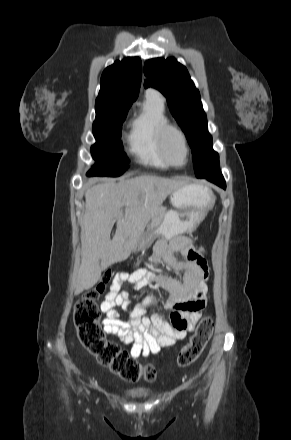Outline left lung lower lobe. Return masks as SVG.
I'll list each match as a JSON object with an SVG mask.
<instances>
[{"label": "left lung lower lobe", "instance_id": "obj_1", "mask_svg": "<svg viewBox=\"0 0 291 440\" xmlns=\"http://www.w3.org/2000/svg\"><path fill=\"white\" fill-rule=\"evenodd\" d=\"M203 178H205L208 181L213 182L216 185L226 189V182H225V180L223 178V175H222L220 169L217 170L214 173H211V174H208V175L204 176Z\"/></svg>", "mask_w": 291, "mask_h": 440}]
</instances>
